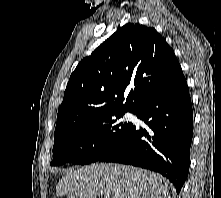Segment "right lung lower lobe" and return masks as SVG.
<instances>
[{
	"label": "right lung lower lobe",
	"instance_id": "right-lung-lower-lobe-1",
	"mask_svg": "<svg viewBox=\"0 0 221 198\" xmlns=\"http://www.w3.org/2000/svg\"><path fill=\"white\" fill-rule=\"evenodd\" d=\"M148 126L132 125L123 140L97 161L143 167L166 176L179 194L189 172L193 110L181 73L134 113Z\"/></svg>",
	"mask_w": 221,
	"mask_h": 198
}]
</instances>
